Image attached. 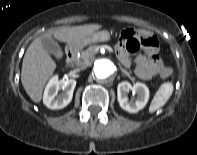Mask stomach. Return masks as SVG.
Here are the masks:
<instances>
[{
  "instance_id": "obj_1",
  "label": "stomach",
  "mask_w": 197,
  "mask_h": 155,
  "mask_svg": "<svg viewBox=\"0 0 197 155\" xmlns=\"http://www.w3.org/2000/svg\"><path fill=\"white\" fill-rule=\"evenodd\" d=\"M110 40V33L107 30L96 31L93 34L85 37L79 42L72 44L75 47H84L90 43L94 42H105Z\"/></svg>"
}]
</instances>
